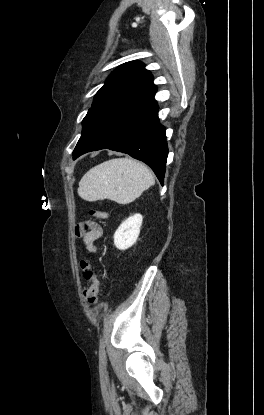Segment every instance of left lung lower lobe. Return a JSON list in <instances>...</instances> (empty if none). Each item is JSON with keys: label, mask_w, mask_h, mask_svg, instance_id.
<instances>
[{"label": "left lung lower lobe", "mask_w": 264, "mask_h": 415, "mask_svg": "<svg viewBox=\"0 0 264 415\" xmlns=\"http://www.w3.org/2000/svg\"><path fill=\"white\" fill-rule=\"evenodd\" d=\"M156 91L153 86L103 113L73 159L100 149L127 153L151 167L163 184L168 148L165 127L158 119Z\"/></svg>", "instance_id": "1"}]
</instances>
